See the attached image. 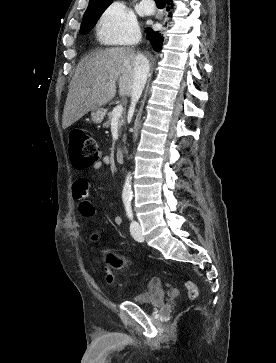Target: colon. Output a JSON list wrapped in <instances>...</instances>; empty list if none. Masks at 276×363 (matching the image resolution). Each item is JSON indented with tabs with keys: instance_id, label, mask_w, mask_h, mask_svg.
<instances>
[{
	"instance_id": "obj_1",
	"label": "colon",
	"mask_w": 276,
	"mask_h": 363,
	"mask_svg": "<svg viewBox=\"0 0 276 363\" xmlns=\"http://www.w3.org/2000/svg\"><path fill=\"white\" fill-rule=\"evenodd\" d=\"M69 153L72 163L79 169L87 168L95 164L101 156L100 145L89 132L83 129H77L71 133ZM91 239L92 241H96V235H93ZM98 258L101 261L104 270L107 272V282L112 284L115 280L117 269L122 264V261L117 260L105 249L100 251ZM155 284H157V280H151L150 285ZM185 287L187 289L188 297L190 299H195L198 295L196 284L187 280L185 282Z\"/></svg>"
}]
</instances>
